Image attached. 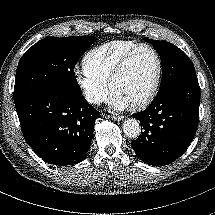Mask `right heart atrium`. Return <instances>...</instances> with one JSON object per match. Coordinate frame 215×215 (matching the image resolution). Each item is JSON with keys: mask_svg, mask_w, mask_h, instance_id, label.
Returning a JSON list of instances; mask_svg holds the SVG:
<instances>
[{"mask_svg": "<svg viewBox=\"0 0 215 215\" xmlns=\"http://www.w3.org/2000/svg\"><path fill=\"white\" fill-rule=\"evenodd\" d=\"M74 82L84 100L92 106L100 105L108 96V84L87 74L84 70L74 72Z\"/></svg>", "mask_w": 215, "mask_h": 215, "instance_id": "d8ad5b80", "label": "right heart atrium"}]
</instances>
